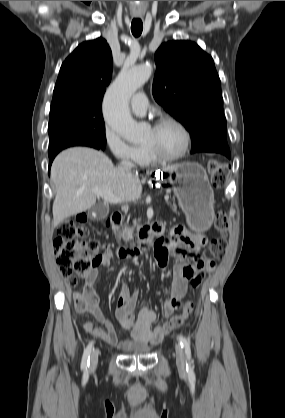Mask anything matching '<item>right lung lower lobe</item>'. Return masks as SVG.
Wrapping results in <instances>:
<instances>
[{
  "mask_svg": "<svg viewBox=\"0 0 285 418\" xmlns=\"http://www.w3.org/2000/svg\"><path fill=\"white\" fill-rule=\"evenodd\" d=\"M73 146H88V147H93L95 149L103 150L99 145H96V144H93V143H81V144H77V145H73ZM56 155L49 157V159H50L49 167H51V163H52V161H53V159L55 158Z\"/></svg>",
  "mask_w": 285,
  "mask_h": 418,
  "instance_id": "right-lung-lower-lobe-1",
  "label": "right lung lower lobe"
}]
</instances>
